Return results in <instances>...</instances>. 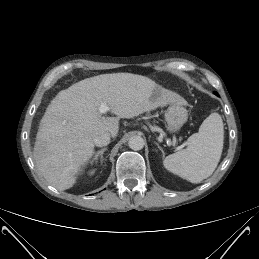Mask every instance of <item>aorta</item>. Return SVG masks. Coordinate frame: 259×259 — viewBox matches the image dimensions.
Segmentation results:
<instances>
[{
  "mask_svg": "<svg viewBox=\"0 0 259 259\" xmlns=\"http://www.w3.org/2000/svg\"><path fill=\"white\" fill-rule=\"evenodd\" d=\"M144 144V139L141 136H132L128 141L129 147L134 151L143 149Z\"/></svg>",
  "mask_w": 259,
  "mask_h": 259,
  "instance_id": "1",
  "label": "aorta"
}]
</instances>
